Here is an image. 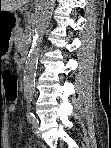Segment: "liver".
Here are the masks:
<instances>
[{
    "instance_id": "liver-1",
    "label": "liver",
    "mask_w": 111,
    "mask_h": 148,
    "mask_svg": "<svg viewBox=\"0 0 111 148\" xmlns=\"http://www.w3.org/2000/svg\"><path fill=\"white\" fill-rule=\"evenodd\" d=\"M26 3H27V0H2L1 10L2 11H15L17 9H20Z\"/></svg>"
}]
</instances>
